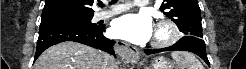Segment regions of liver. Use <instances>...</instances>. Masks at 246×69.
Segmentation results:
<instances>
[{
  "instance_id": "1",
  "label": "liver",
  "mask_w": 246,
  "mask_h": 69,
  "mask_svg": "<svg viewBox=\"0 0 246 69\" xmlns=\"http://www.w3.org/2000/svg\"><path fill=\"white\" fill-rule=\"evenodd\" d=\"M118 69L109 55L74 42L54 45L37 59L34 69Z\"/></svg>"
}]
</instances>
